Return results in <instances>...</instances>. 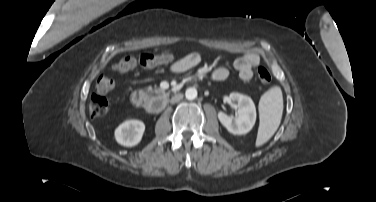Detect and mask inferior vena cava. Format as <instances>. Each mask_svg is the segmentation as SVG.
Returning <instances> with one entry per match:
<instances>
[{"label":"inferior vena cava","instance_id":"inferior-vena-cava-1","mask_svg":"<svg viewBox=\"0 0 376 202\" xmlns=\"http://www.w3.org/2000/svg\"><path fill=\"white\" fill-rule=\"evenodd\" d=\"M183 98V95L182 94H177V95H175L173 98H172V102L174 103V102H178V101H180L181 99Z\"/></svg>","mask_w":376,"mask_h":202}]
</instances>
